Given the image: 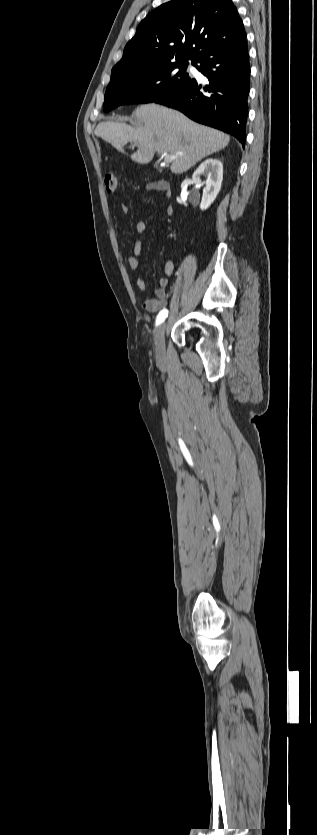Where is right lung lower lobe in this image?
I'll return each instance as SVG.
<instances>
[{"label":"right lung lower lobe","instance_id":"1","mask_svg":"<svg viewBox=\"0 0 317 835\" xmlns=\"http://www.w3.org/2000/svg\"><path fill=\"white\" fill-rule=\"evenodd\" d=\"M197 69L208 78L203 87L195 79L177 87L155 103L180 110L192 120L246 140L250 65L246 39L200 57Z\"/></svg>","mask_w":317,"mask_h":835}]
</instances>
